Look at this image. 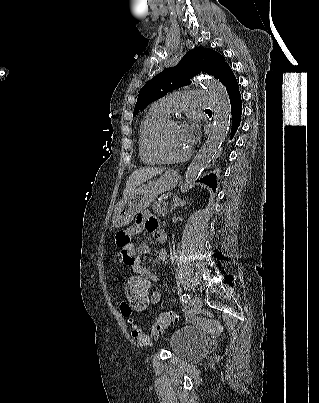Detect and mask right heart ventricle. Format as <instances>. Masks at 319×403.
Returning <instances> with one entry per match:
<instances>
[{
    "label": "right heart ventricle",
    "instance_id": "right-heart-ventricle-1",
    "mask_svg": "<svg viewBox=\"0 0 319 403\" xmlns=\"http://www.w3.org/2000/svg\"><path fill=\"white\" fill-rule=\"evenodd\" d=\"M169 115L155 105L142 118L138 130V146L141 160L148 165L161 164L163 161L153 151L152 140L157 128Z\"/></svg>",
    "mask_w": 319,
    "mask_h": 403
}]
</instances>
